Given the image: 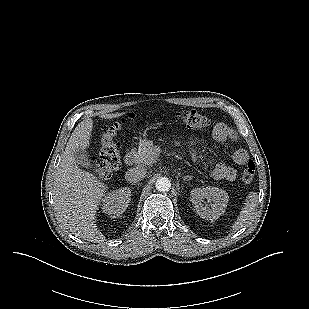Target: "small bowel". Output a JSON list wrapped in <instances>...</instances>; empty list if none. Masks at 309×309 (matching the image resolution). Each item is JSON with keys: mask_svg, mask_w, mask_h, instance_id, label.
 Wrapping results in <instances>:
<instances>
[{"mask_svg": "<svg viewBox=\"0 0 309 309\" xmlns=\"http://www.w3.org/2000/svg\"><path fill=\"white\" fill-rule=\"evenodd\" d=\"M214 140L223 144L227 140L236 138L234 131L224 123H218L212 131ZM233 162L236 165H245L249 160V155L246 150L239 149L233 154ZM212 176L216 180L233 181L237 176V171L231 166L219 163L212 170Z\"/></svg>", "mask_w": 309, "mask_h": 309, "instance_id": "obj_1", "label": "small bowel"}]
</instances>
